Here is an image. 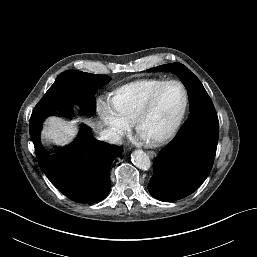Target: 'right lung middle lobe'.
I'll use <instances>...</instances> for the list:
<instances>
[{
  "instance_id": "right-lung-middle-lobe-1",
  "label": "right lung middle lobe",
  "mask_w": 257,
  "mask_h": 257,
  "mask_svg": "<svg viewBox=\"0 0 257 257\" xmlns=\"http://www.w3.org/2000/svg\"><path fill=\"white\" fill-rule=\"evenodd\" d=\"M110 79L100 75L69 71L58 76L43 98L35 106L30 121V131L38 119L49 111L59 110L67 105L79 104L89 110L94 107V92Z\"/></svg>"
}]
</instances>
